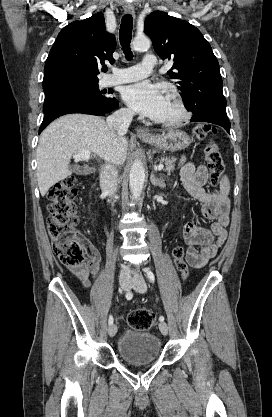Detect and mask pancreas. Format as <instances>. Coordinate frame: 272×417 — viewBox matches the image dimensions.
Here are the masks:
<instances>
[{"label":"pancreas","mask_w":272,"mask_h":417,"mask_svg":"<svg viewBox=\"0 0 272 417\" xmlns=\"http://www.w3.org/2000/svg\"><path fill=\"white\" fill-rule=\"evenodd\" d=\"M159 161L160 163L165 164V169H164L165 172H167L168 174H171L173 172L174 167H175V162H176L175 158L160 157Z\"/></svg>","instance_id":"cf45deb5"}]
</instances>
